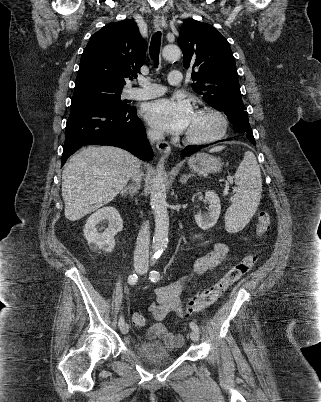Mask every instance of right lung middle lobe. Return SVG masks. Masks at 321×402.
<instances>
[{"instance_id":"1","label":"right lung middle lobe","mask_w":321,"mask_h":402,"mask_svg":"<svg viewBox=\"0 0 321 402\" xmlns=\"http://www.w3.org/2000/svg\"><path fill=\"white\" fill-rule=\"evenodd\" d=\"M122 89L99 83L76 84L71 107L95 105L108 109H126L129 105L121 100Z\"/></svg>"}]
</instances>
